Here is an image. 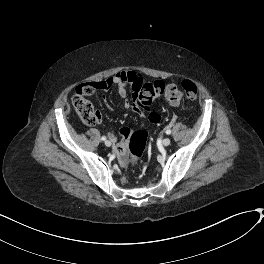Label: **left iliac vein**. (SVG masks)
<instances>
[{
  "mask_svg": "<svg viewBox=\"0 0 264 264\" xmlns=\"http://www.w3.org/2000/svg\"><path fill=\"white\" fill-rule=\"evenodd\" d=\"M170 143H171L170 138H165V139H163V141H162V144H163L164 146H169Z\"/></svg>",
  "mask_w": 264,
  "mask_h": 264,
  "instance_id": "4c4485c4",
  "label": "left iliac vein"
}]
</instances>
